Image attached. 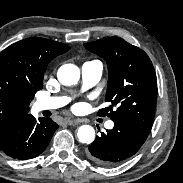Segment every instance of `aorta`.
Returning a JSON list of instances; mask_svg holds the SVG:
<instances>
[{
    "instance_id": "aorta-1",
    "label": "aorta",
    "mask_w": 183,
    "mask_h": 183,
    "mask_svg": "<svg viewBox=\"0 0 183 183\" xmlns=\"http://www.w3.org/2000/svg\"><path fill=\"white\" fill-rule=\"evenodd\" d=\"M57 78L62 85H75L80 79V70L74 64H64L59 68ZM77 137L79 142L90 144L95 139V130L90 125H82L77 131Z\"/></svg>"
}]
</instances>
